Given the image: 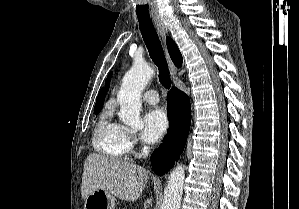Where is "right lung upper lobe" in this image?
Returning <instances> with one entry per match:
<instances>
[{
    "instance_id": "1",
    "label": "right lung upper lobe",
    "mask_w": 299,
    "mask_h": 209,
    "mask_svg": "<svg viewBox=\"0 0 299 209\" xmlns=\"http://www.w3.org/2000/svg\"><path fill=\"white\" fill-rule=\"evenodd\" d=\"M166 42H167L169 54H170V57H171L172 61L174 62V64L177 67H181V65H182V55H181L177 45L169 37H167ZM109 80H110V74H109L108 79H107V86L109 84ZM105 94H106V89H102L100 91L98 97H97L94 112H99L101 110V108L103 106V100H104Z\"/></svg>"
}]
</instances>
